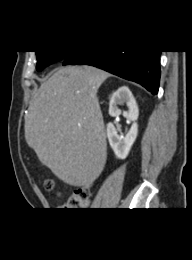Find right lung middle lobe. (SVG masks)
Instances as JSON below:
<instances>
[{
    "label": "right lung middle lobe",
    "instance_id": "right-lung-middle-lobe-1",
    "mask_svg": "<svg viewBox=\"0 0 192 260\" xmlns=\"http://www.w3.org/2000/svg\"><path fill=\"white\" fill-rule=\"evenodd\" d=\"M70 53L69 51H36L37 71L43 70L52 63L64 60Z\"/></svg>",
    "mask_w": 192,
    "mask_h": 260
}]
</instances>
